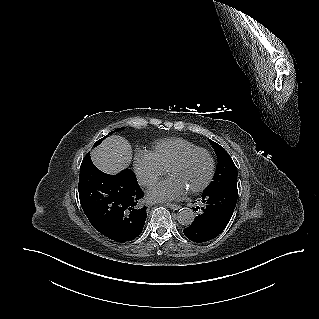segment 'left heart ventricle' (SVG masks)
<instances>
[{
    "mask_svg": "<svg viewBox=\"0 0 319 319\" xmlns=\"http://www.w3.org/2000/svg\"><path fill=\"white\" fill-rule=\"evenodd\" d=\"M209 167L208 157L204 153H197L191 156L181 166L172 169L169 172V176L178 179L185 185L187 190H191L205 180L209 172Z\"/></svg>",
    "mask_w": 319,
    "mask_h": 319,
    "instance_id": "left-heart-ventricle-1",
    "label": "left heart ventricle"
}]
</instances>
